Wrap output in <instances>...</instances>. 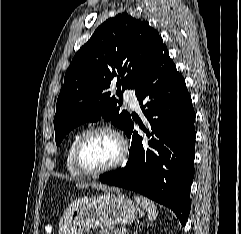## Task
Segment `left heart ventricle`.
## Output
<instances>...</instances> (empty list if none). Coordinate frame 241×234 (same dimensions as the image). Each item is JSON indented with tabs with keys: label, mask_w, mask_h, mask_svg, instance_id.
Returning <instances> with one entry per match:
<instances>
[{
	"label": "left heart ventricle",
	"mask_w": 241,
	"mask_h": 234,
	"mask_svg": "<svg viewBox=\"0 0 241 234\" xmlns=\"http://www.w3.org/2000/svg\"><path fill=\"white\" fill-rule=\"evenodd\" d=\"M119 154L118 140L109 133H98L87 140L83 146L81 158L87 169L97 170L114 163Z\"/></svg>",
	"instance_id": "1"
}]
</instances>
